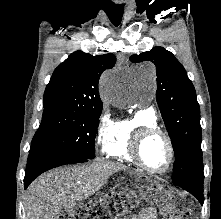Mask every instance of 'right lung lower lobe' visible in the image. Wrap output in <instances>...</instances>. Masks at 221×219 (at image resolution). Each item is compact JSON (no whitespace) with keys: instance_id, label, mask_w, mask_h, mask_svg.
I'll return each mask as SVG.
<instances>
[{"instance_id":"1","label":"right lung lower lobe","mask_w":221,"mask_h":219,"mask_svg":"<svg viewBox=\"0 0 221 219\" xmlns=\"http://www.w3.org/2000/svg\"><path fill=\"white\" fill-rule=\"evenodd\" d=\"M88 160L66 155L46 147H37L31 150L28 156L24 188L26 189L38 175L49 169L66 164L87 162Z\"/></svg>"}]
</instances>
